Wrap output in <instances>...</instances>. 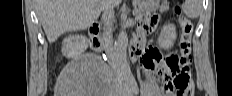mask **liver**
I'll list each match as a JSON object with an SVG mask.
<instances>
[{"instance_id": "liver-1", "label": "liver", "mask_w": 232, "mask_h": 96, "mask_svg": "<svg viewBox=\"0 0 232 96\" xmlns=\"http://www.w3.org/2000/svg\"><path fill=\"white\" fill-rule=\"evenodd\" d=\"M106 1L120 0H35L36 13L50 43L63 33L88 28L99 17Z\"/></svg>"}]
</instances>
